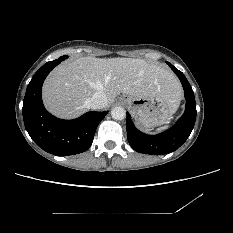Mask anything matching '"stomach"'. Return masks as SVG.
Listing matches in <instances>:
<instances>
[{
  "mask_svg": "<svg viewBox=\"0 0 233 233\" xmlns=\"http://www.w3.org/2000/svg\"><path fill=\"white\" fill-rule=\"evenodd\" d=\"M121 100L126 103L129 111L137 117L138 123L145 128L166 123L177 109L161 96L124 95Z\"/></svg>",
  "mask_w": 233,
  "mask_h": 233,
  "instance_id": "1",
  "label": "stomach"
}]
</instances>
